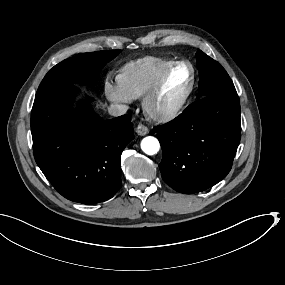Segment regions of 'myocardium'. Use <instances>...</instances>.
I'll use <instances>...</instances> for the list:
<instances>
[{
	"label": "myocardium",
	"mask_w": 285,
	"mask_h": 285,
	"mask_svg": "<svg viewBox=\"0 0 285 285\" xmlns=\"http://www.w3.org/2000/svg\"><path fill=\"white\" fill-rule=\"evenodd\" d=\"M176 73H181V69L170 67L168 70H166L161 75V77L154 84V86L151 87L148 91H146L142 95V99H141L142 110L145 113L151 115L153 118H155L159 121H166V120L172 119L175 116H177L181 112V110L184 108V106L187 104V102L191 96V93L193 91L195 78H194L193 71L190 70V81H189L187 89H186L185 93L183 94L182 98L180 99V101L176 105H174L173 107L167 108L160 113H152L151 112L150 106H151L153 98L162 91V89L164 88L165 84L170 79V77Z\"/></svg>",
	"instance_id": "1"
}]
</instances>
